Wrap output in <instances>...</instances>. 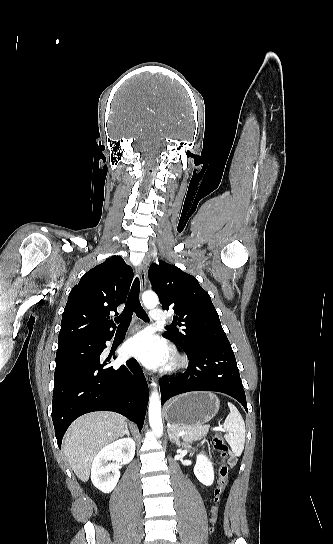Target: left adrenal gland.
I'll return each mask as SVG.
<instances>
[{
	"label": "left adrenal gland",
	"instance_id": "obj_1",
	"mask_svg": "<svg viewBox=\"0 0 333 544\" xmlns=\"http://www.w3.org/2000/svg\"><path fill=\"white\" fill-rule=\"evenodd\" d=\"M168 435L170 441H173L174 443H176L177 446H180L179 436L175 432H172L168 429Z\"/></svg>",
	"mask_w": 333,
	"mask_h": 544
}]
</instances>
